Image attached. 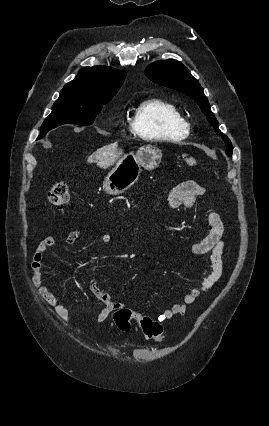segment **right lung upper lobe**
<instances>
[{
    "mask_svg": "<svg viewBox=\"0 0 269 426\" xmlns=\"http://www.w3.org/2000/svg\"><path fill=\"white\" fill-rule=\"evenodd\" d=\"M126 70L111 67H85L67 83L60 93L82 94L90 97H113L124 82Z\"/></svg>",
    "mask_w": 269,
    "mask_h": 426,
    "instance_id": "right-lung-upper-lobe-1",
    "label": "right lung upper lobe"
}]
</instances>
